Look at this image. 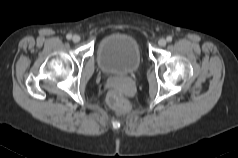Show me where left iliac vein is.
<instances>
[{
    "label": "left iliac vein",
    "instance_id": "left-iliac-vein-1",
    "mask_svg": "<svg viewBox=\"0 0 238 158\" xmlns=\"http://www.w3.org/2000/svg\"><path fill=\"white\" fill-rule=\"evenodd\" d=\"M158 44H159V46L164 47V46H166L167 41H166L164 38H161V39L158 41Z\"/></svg>",
    "mask_w": 238,
    "mask_h": 158
}]
</instances>
